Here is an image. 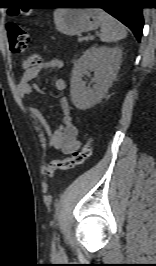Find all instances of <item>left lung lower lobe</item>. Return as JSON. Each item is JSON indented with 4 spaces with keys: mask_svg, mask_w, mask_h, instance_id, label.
<instances>
[{
    "mask_svg": "<svg viewBox=\"0 0 156 266\" xmlns=\"http://www.w3.org/2000/svg\"><path fill=\"white\" fill-rule=\"evenodd\" d=\"M79 5H100L110 15L114 16L134 33L140 42L143 29L142 7L135 0H68Z\"/></svg>",
    "mask_w": 156,
    "mask_h": 266,
    "instance_id": "obj_1",
    "label": "left lung lower lobe"
}]
</instances>
